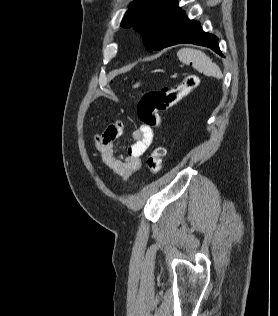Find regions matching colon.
Returning a JSON list of instances; mask_svg holds the SVG:
<instances>
[{
    "label": "colon",
    "instance_id": "5ec220e1",
    "mask_svg": "<svg viewBox=\"0 0 278 316\" xmlns=\"http://www.w3.org/2000/svg\"><path fill=\"white\" fill-rule=\"evenodd\" d=\"M199 84V77L195 74L186 75L179 84L155 91H148L141 97L137 113L143 124L159 129L162 127L161 112L165 111L183 97L191 93ZM166 150L157 146L147 158V167L152 174L160 172L164 165Z\"/></svg>",
    "mask_w": 278,
    "mask_h": 316
}]
</instances>
